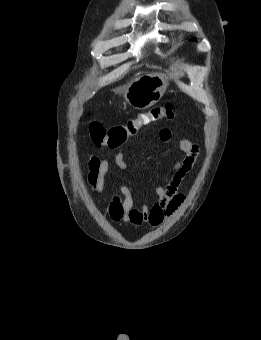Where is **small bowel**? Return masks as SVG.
<instances>
[{
    "label": "small bowel",
    "instance_id": "obj_1",
    "mask_svg": "<svg viewBox=\"0 0 261 340\" xmlns=\"http://www.w3.org/2000/svg\"><path fill=\"white\" fill-rule=\"evenodd\" d=\"M159 138L163 142H170L172 133L168 128H162L159 131ZM179 147L182 157L174 164L172 172L163 179L160 185L155 187V202L152 205L136 206L130 189L127 186H120L105 208V212L112 221L135 227L144 224L156 227L176 211L185 198L179 189L194 168L199 155L198 145L187 139L181 140ZM85 162L88 167V188L96 194L104 192L105 177L112 163L121 170L128 168L126 155L123 152H118L113 160L91 155Z\"/></svg>",
    "mask_w": 261,
    "mask_h": 340
}]
</instances>
